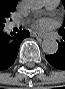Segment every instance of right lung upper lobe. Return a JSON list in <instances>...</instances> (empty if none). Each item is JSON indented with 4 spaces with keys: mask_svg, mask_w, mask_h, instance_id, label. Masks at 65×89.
I'll return each mask as SVG.
<instances>
[{
    "mask_svg": "<svg viewBox=\"0 0 65 89\" xmlns=\"http://www.w3.org/2000/svg\"><path fill=\"white\" fill-rule=\"evenodd\" d=\"M18 0H0V9L15 11Z\"/></svg>",
    "mask_w": 65,
    "mask_h": 89,
    "instance_id": "1",
    "label": "right lung upper lobe"
}]
</instances>
